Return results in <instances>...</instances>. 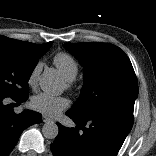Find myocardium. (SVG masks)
Instances as JSON below:
<instances>
[{
    "label": "myocardium",
    "instance_id": "f54148a6",
    "mask_svg": "<svg viewBox=\"0 0 156 156\" xmlns=\"http://www.w3.org/2000/svg\"><path fill=\"white\" fill-rule=\"evenodd\" d=\"M67 87H71V81H67Z\"/></svg>",
    "mask_w": 156,
    "mask_h": 156
}]
</instances>
